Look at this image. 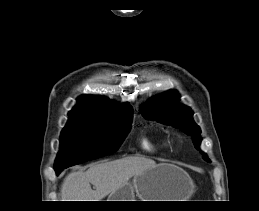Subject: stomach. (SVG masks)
<instances>
[{"mask_svg": "<svg viewBox=\"0 0 259 211\" xmlns=\"http://www.w3.org/2000/svg\"><path fill=\"white\" fill-rule=\"evenodd\" d=\"M192 194V181L180 168L157 164L135 175L109 195L108 201H184Z\"/></svg>", "mask_w": 259, "mask_h": 211, "instance_id": "0dacf381", "label": "stomach"}]
</instances>
